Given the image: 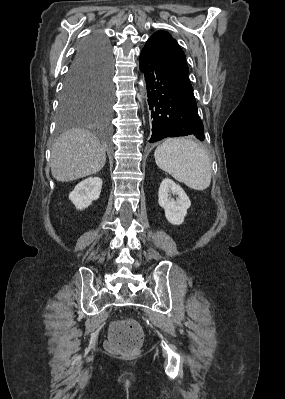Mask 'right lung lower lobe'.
I'll use <instances>...</instances> for the list:
<instances>
[{"instance_id":"1","label":"right lung lower lobe","mask_w":285,"mask_h":399,"mask_svg":"<svg viewBox=\"0 0 285 399\" xmlns=\"http://www.w3.org/2000/svg\"><path fill=\"white\" fill-rule=\"evenodd\" d=\"M105 68L112 69L111 45L107 37L95 32L86 38L78 47L70 71Z\"/></svg>"}]
</instances>
